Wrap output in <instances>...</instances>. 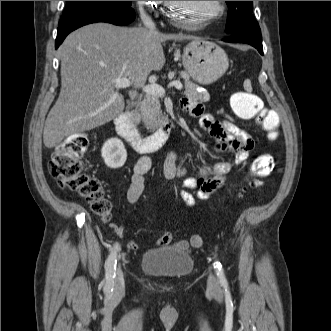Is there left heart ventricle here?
Instances as JSON below:
<instances>
[{
    "instance_id": "left-heart-ventricle-1",
    "label": "left heart ventricle",
    "mask_w": 331,
    "mask_h": 331,
    "mask_svg": "<svg viewBox=\"0 0 331 331\" xmlns=\"http://www.w3.org/2000/svg\"><path fill=\"white\" fill-rule=\"evenodd\" d=\"M217 9V1H175L174 16L183 22L198 23Z\"/></svg>"
}]
</instances>
